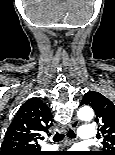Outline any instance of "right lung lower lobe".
Instances as JSON below:
<instances>
[{
    "label": "right lung lower lobe",
    "mask_w": 115,
    "mask_h": 155,
    "mask_svg": "<svg viewBox=\"0 0 115 155\" xmlns=\"http://www.w3.org/2000/svg\"><path fill=\"white\" fill-rule=\"evenodd\" d=\"M27 155H43L41 152L28 153Z\"/></svg>",
    "instance_id": "98d812e1"
}]
</instances>
